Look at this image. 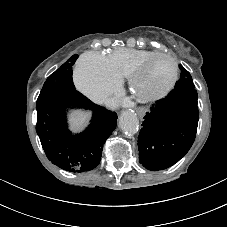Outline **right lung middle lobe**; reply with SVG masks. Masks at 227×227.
Instances as JSON below:
<instances>
[{"label":"right lung middle lobe","instance_id":"obj_1","mask_svg":"<svg viewBox=\"0 0 227 227\" xmlns=\"http://www.w3.org/2000/svg\"><path fill=\"white\" fill-rule=\"evenodd\" d=\"M77 58L78 55H73L59 69L53 72L45 81L42 90L46 88H55L56 90L68 88L75 89L72 80V66L74 65Z\"/></svg>","mask_w":227,"mask_h":227}]
</instances>
